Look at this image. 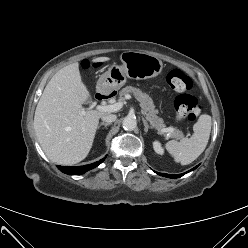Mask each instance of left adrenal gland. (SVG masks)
Wrapping results in <instances>:
<instances>
[{
    "label": "left adrenal gland",
    "instance_id": "a2214340",
    "mask_svg": "<svg viewBox=\"0 0 248 248\" xmlns=\"http://www.w3.org/2000/svg\"><path fill=\"white\" fill-rule=\"evenodd\" d=\"M142 121H143V124H144V127H145L144 128V131L147 133L148 132V129H150V127H149L147 121L144 118H142Z\"/></svg>",
    "mask_w": 248,
    "mask_h": 248
}]
</instances>
